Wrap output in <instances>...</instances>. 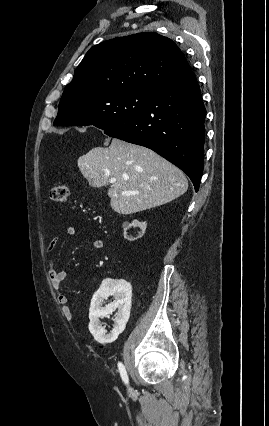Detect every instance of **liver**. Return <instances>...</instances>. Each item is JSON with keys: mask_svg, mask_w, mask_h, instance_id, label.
Instances as JSON below:
<instances>
[{"mask_svg": "<svg viewBox=\"0 0 269 426\" xmlns=\"http://www.w3.org/2000/svg\"><path fill=\"white\" fill-rule=\"evenodd\" d=\"M78 167L92 187L116 182L108 190L112 209L133 214L166 204L188 189L184 173L154 151L112 139L109 147H95L79 157ZM122 191L136 192L124 196Z\"/></svg>", "mask_w": 269, "mask_h": 426, "instance_id": "liver-1", "label": "liver"}]
</instances>
